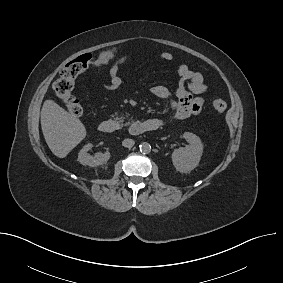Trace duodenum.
<instances>
[{"label": "duodenum", "instance_id": "1", "mask_svg": "<svg viewBox=\"0 0 283 283\" xmlns=\"http://www.w3.org/2000/svg\"><path fill=\"white\" fill-rule=\"evenodd\" d=\"M160 123L156 119H148L143 121H136L129 127V132L132 135H140L146 132H152L159 128ZM99 131L110 134L116 131V123L111 119L103 120L98 125Z\"/></svg>", "mask_w": 283, "mask_h": 283}]
</instances>
